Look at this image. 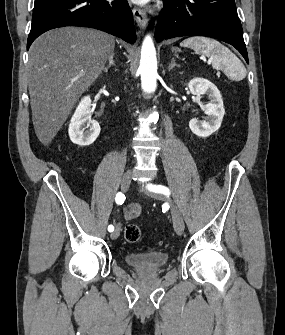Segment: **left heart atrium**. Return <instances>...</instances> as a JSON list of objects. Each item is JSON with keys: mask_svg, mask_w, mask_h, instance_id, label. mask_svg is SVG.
Here are the masks:
<instances>
[{"mask_svg": "<svg viewBox=\"0 0 285 335\" xmlns=\"http://www.w3.org/2000/svg\"><path fill=\"white\" fill-rule=\"evenodd\" d=\"M134 2L139 3V4H144V3L148 2V1H134Z\"/></svg>", "mask_w": 285, "mask_h": 335, "instance_id": "39dd6f15", "label": "left heart atrium"}]
</instances>
